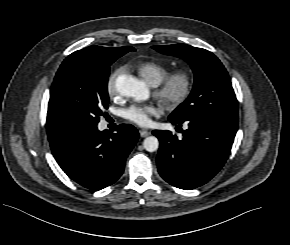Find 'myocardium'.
<instances>
[{
    "label": "myocardium",
    "mask_w": 290,
    "mask_h": 245,
    "mask_svg": "<svg viewBox=\"0 0 290 245\" xmlns=\"http://www.w3.org/2000/svg\"><path fill=\"white\" fill-rule=\"evenodd\" d=\"M193 87L192 73L187 70H179L167 75L157 85L155 95L167 108H176L185 102Z\"/></svg>",
    "instance_id": "obj_1"
}]
</instances>
